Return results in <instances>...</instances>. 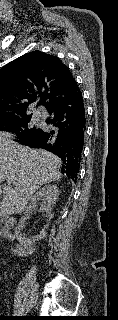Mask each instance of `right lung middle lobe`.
I'll list each match as a JSON object with an SVG mask.
<instances>
[{
	"label": "right lung middle lobe",
	"instance_id": "1",
	"mask_svg": "<svg viewBox=\"0 0 118 320\" xmlns=\"http://www.w3.org/2000/svg\"><path fill=\"white\" fill-rule=\"evenodd\" d=\"M31 117H5L0 119V131L11 132L17 140L36 134L40 128L33 126Z\"/></svg>",
	"mask_w": 118,
	"mask_h": 320
}]
</instances>
